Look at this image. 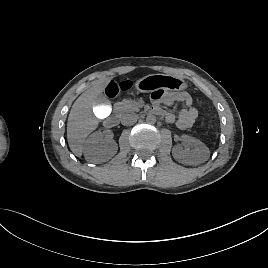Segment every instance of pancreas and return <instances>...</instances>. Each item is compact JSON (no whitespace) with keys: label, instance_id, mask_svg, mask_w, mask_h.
I'll list each match as a JSON object with an SVG mask.
<instances>
[{"label":"pancreas","instance_id":"1","mask_svg":"<svg viewBox=\"0 0 268 268\" xmlns=\"http://www.w3.org/2000/svg\"><path fill=\"white\" fill-rule=\"evenodd\" d=\"M142 106L143 103L126 99L115 104L116 109L120 112L139 111Z\"/></svg>","mask_w":268,"mask_h":268}]
</instances>
